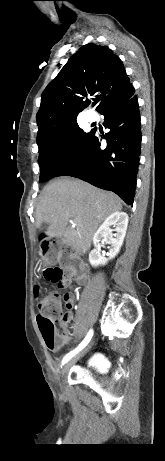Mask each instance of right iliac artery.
<instances>
[{
  "mask_svg": "<svg viewBox=\"0 0 165 461\" xmlns=\"http://www.w3.org/2000/svg\"><path fill=\"white\" fill-rule=\"evenodd\" d=\"M92 335H93V331L90 330L89 333L87 334V336L85 337V339L82 341V343L75 350H73L70 353H68L67 355H65V357L63 358L62 363L65 364L66 362H68L71 359V357H73L76 353H78L80 350H82L88 344V342L92 338Z\"/></svg>",
  "mask_w": 165,
  "mask_h": 461,
  "instance_id": "1",
  "label": "right iliac artery"
}]
</instances>
